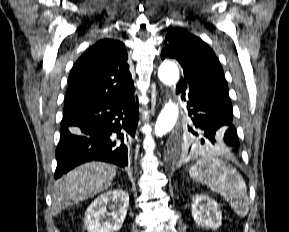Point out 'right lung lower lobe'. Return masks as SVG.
<instances>
[{"label":"right lung lower lobe","mask_w":289,"mask_h":232,"mask_svg":"<svg viewBox=\"0 0 289 232\" xmlns=\"http://www.w3.org/2000/svg\"><path fill=\"white\" fill-rule=\"evenodd\" d=\"M135 89L112 101L65 112L56 149L55 179L84 162L98 160L121 167L138 123Z\"/></svg>","instance_id":"right-lung-lower-lobe-1"}]
</instances>
